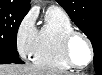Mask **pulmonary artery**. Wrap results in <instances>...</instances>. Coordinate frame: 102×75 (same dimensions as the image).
Segmentation results:
<instances>
[{
  "label": "pulmonary artery",
  "instance_id": "obj_1",
  "mask_svg": "<svg viewBox=\"0 0 102 75\" xmlns=\"http://www.w3.org/2000/svg\"><path fill=\"white\" fill-rule=\"evenodd\" d=\"M51 7H56L55 5H52Z\"/></svg>",
  "mask_w": 102,
  "mask_h": 75
}]
</instances>
